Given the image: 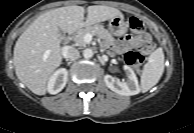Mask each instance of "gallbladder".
<instances>
[{
    "label": "gallbladder",
    "instance_id": "gallbladder-1",
    "mask_svg": "<svg viewBox=\"0 0 194 133\" xmlns=\"http://www.w3.org/2000/svg\"><path fill=\"white\" fill-rule=\"evenodd\" d=\"M61 37L64 35L63 31H60Z\"/></svg>",
    "mask_w": 194,
    "mask_h": 133
}]
</instances>
